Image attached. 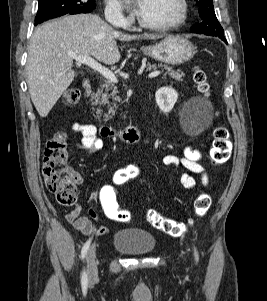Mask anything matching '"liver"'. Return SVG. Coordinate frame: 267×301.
<instances>
[{
    "instance_id": "6515ba94",
    "label": "liver",
    "mask_w": 267,
    "mask_h": 301,
    "mask_svg": "<svg viewBox=\"0 0 267 301\" xmlns=\"http://www.w3.org/2000/svg\"><path fill=\"white\" fill-rule=\"evenodd\" d=\"M157 35H127L114 30L98 15H68L35 30L28 49L27 84L31 100L46 117L76 74L69 53L93 56L113 65L120 60L116 40L157 39Z\"/></svg>"
}]
</instances>
